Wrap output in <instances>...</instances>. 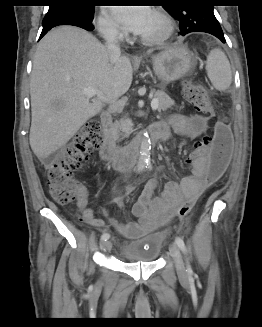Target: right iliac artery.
Returning <instances> with one entry per match:
<instances>
[{
    "label": "right iliac artery",
    "instance_id": "82829eb1",
    "mask_svg": "<svg viewBox=\"0 0 262 327\" xmlns=\"http://www.w3.org/2000/svg\"><path fill=\"white\" fill-rule=\"evenodd\" d=\"M110 238V235H109V233H103L102 235H101V240L102 241H107L108 239Z\"/></svg>",
    "mask_w": 262,
    "mask_h": 327
}]
</instances>
